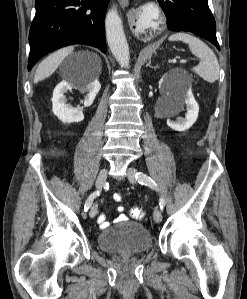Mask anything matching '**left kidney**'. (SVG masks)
Instances as JSON below:
<instances>
[{
  "mask_svg": "<svg viewBox=\"0 0 247 299\" xmlns=\"http://www.w3.org/2000/svg\"><path fill=\"white\" fill-rule=\"evenodd\" d=\"M159 86L162 88L166 87L164 79L162 78L159 82ZM170 102L168 105V112L170 114L178 113L182 106L186 104L187 113L184 119H178L176 122H172L170 119H167V125L175 131H186L188 130L197 120L199 113V106L194 99L191 89L176 94L169 92Z\"/></svg>",
  "mask_w": 247,
  "mask_h": 299,
  "instance_id": "obj_1",
  "label": "left kidney"
}]
</instances>
